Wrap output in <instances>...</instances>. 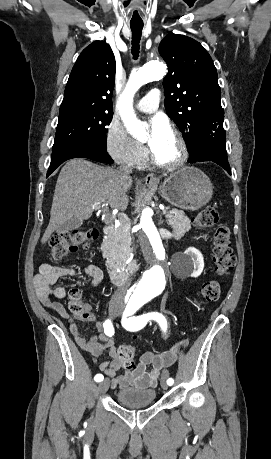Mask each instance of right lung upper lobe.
<instances>
[{
    "label": "right lung upper lobe",
    "instance_id": "right-lung-upper-lobe-1",
    "mask_svg": "<svg viewBox=\"0 0 271 459\" xmlns=\"http://www.w3.org/2000/svg\"><path fill=\"white\" fill-rule=\"evenodd\" d=\"M116 62L110 46L95 41L78 57L69 76L60 112L113 113Z\"/></svg>",
    "mask_w": 271,
    "mask_h": 459
}]
</instances>
